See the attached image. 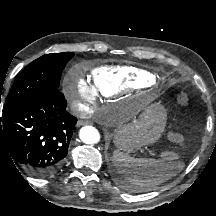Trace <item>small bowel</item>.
Returning a JSON list of instances; mask_svg holds the SVG:
<instances>
[{
    "mask_svg": "<svg viewBox=\"0 0 216 216\" xmlns=\"http://www.w3.org/2000/svg\"><path fill=\"white\" fill-rule=\"evenodd\" d=\"M170 139L172 142L178 144L179 146L183 147V138L179 133L173 132L170 135Z\"/></svg>",
    "mask_w": 216,
    "mask_h": 216,
    "instance_id": "small-bowel-1",
    "label": "small bowel"
}]
</instances>
